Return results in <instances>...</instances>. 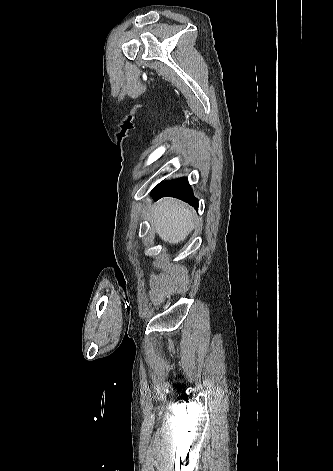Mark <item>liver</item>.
Here are the masks:
<instances>
[{
    "label": "liver",
    "mask_w": 333,
    "mask_h": 471,
    "mask_svg": "<svg viewBox=\"0 0 333 471\" xmlns=\"http://www.w3.org/2000/svg\"><path fill=\"white\" fill-rule=\"evenodd\" d=\"M152 222L159 237L170 244L184 241L194 228L192 211L172 198L164 199L154 207Z\"/></svg>",
    "instance_id": "liver-1"
}]
</instances>
